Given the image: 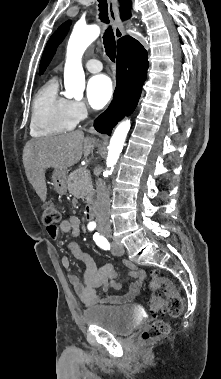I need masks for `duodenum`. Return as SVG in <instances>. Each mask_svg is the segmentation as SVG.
I'll return each instance as SVG.
<instances>
[{
    "mask_svg": "<svg viewBox=\"0 0 221 379\" xmlns=\"http://www.w3.org/2000/svg\"><path fill=\"white\" fill-rule=\"evenodd\" d=\"M97 209L98 208H97L96 202H92L91 204H89V206L87 207L85 211L86 220L92 221L97 215Z\"/></svg>",
    "mask_w": 221,
    "mask_h": 379,
    "instance_id": "duodenum-1",
    "label": "duodenum"
}]
</instances>
